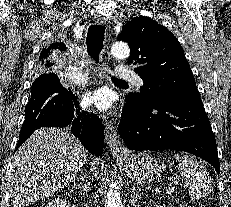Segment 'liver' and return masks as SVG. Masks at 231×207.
<instances>
[{"label":"liver","instance_id":"liver-1","mask_svg":"<svg viewBox=\"0 0 231 207\" xmlns=\"http://www.w3.org/2000/svg\"><path fill=\"white\" fill-rule=\"evenodd\" d=\"M87 161V151L68 130L41 128L14 155L8 178L12 207H27L73 182ZM92 164L94 176L98 168Z\"/></svg>","mask_w":231,"mask_h":207}]
</instances>
